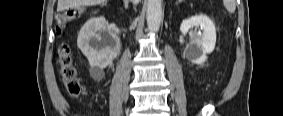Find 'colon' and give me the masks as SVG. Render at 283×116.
<instances>
[{
	"instance_id": "5ec220e1",
	"label": "colon",
	"mask_w": 283,
	"mask_h": 116,
	"mask_svg": "<svg viewBox=\"0 0 283 116\" xmlns=\"http://www.w3.org/2000/svg\"><path fill=\"white\" fill-rule=\"evenodd\" d=\"M82 13L79 7L68 9L57 16V26L61 31L68 23L77 19ZM57 61L60 67L63 86L71 97H78L81 93V85L77 76L70 47L62 43L57 48Z\"/></svg>"
}]
</instances>
